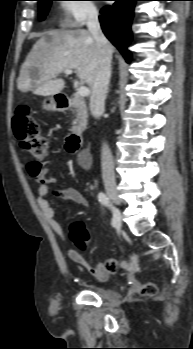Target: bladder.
Segmentation results:
<instances>
[{"mask_svg":"<svg viewBox=\"0 0 193 349\" xmlns=\"http://www.w3.org/2000/svg\"><path fill=\"white\" fill-rule=\"evenodd\" d=\"M96 293L100 296V297H104L106 294V291L101 289V288H96Z\"/></svg>","mask_w":193,"mask_h":349,"instance_id":"obj_1","label":"bladder"}]
</instances>
